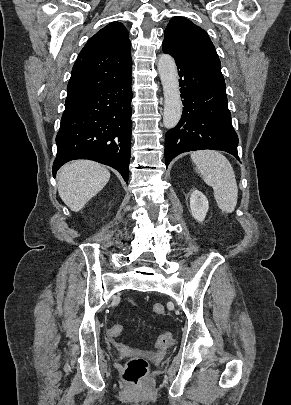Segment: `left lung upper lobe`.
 <instances>
[{"label": "left lung upper lobe", "mask_w": 291, "mask_h": 405, "mask_svg": "<svg viewBox=\"0 0 291 405\" xmlns=\"http://www.w3.org/2000/svg\"><path fill=\"white\" fill-rule=\"evenodd\" d=\"M163 45L186 57L220 63L208 34L184 17H174L165 29Z\"/></svg>", "instance_id": "1"}]
</instances>
